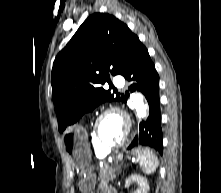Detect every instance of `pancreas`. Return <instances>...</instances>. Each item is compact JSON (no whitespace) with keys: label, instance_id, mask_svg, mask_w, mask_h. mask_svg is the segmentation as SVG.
<instances>
[{"label":"pancreas","instance_id":"obj_1","mask_svg":"<svg viewBox=\"0 0 221 193\" xmlns=\"http://www.w3.org/2000/svg\"><path fill=\"white\" fill-rule=\"evenodd\" d=\"M116 169L112 166L105 164L100 168L99 171V189H103L110 181H113L116 178Z\"/></svg>","mask_w":221,"mask_h":193}]
</instances>
